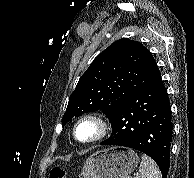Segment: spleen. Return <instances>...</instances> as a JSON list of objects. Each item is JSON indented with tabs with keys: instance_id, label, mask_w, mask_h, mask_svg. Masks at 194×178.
<instances>
[{
	"instance_id": "obj_1",
	"label": "spleen",
	"mask_w": 194,
	"mask_h": 178,
	"mask_svg": "<svg viewBox=\"0 0 194 178\" xmlns=\"http://www.w3.org/2000/svg\"><path fill=\"white\" fill-rule=\"evenodd\" d=\"M135 178H162L156 163L147 155H142L139 173Z\"/></svg>"
}]
</instances>
